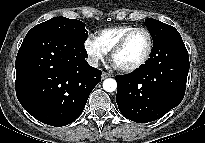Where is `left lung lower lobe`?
<instances>
[{
  "label": "left lung lower lobe",
  "mask_w": 205,
  "mask_h": 143,
  "mask_svg": "<svg viewBox=\"0 0 205 143\" xmlns=\"http://www.w3.org/2000/svg\"><path fill=\"white\" fill-rule=\"evenodd\" d=\"M189 56L178 31L153 44L150 59L133 73L116 76L122 115L137 123L155 121L183 99Z\"/></svg>",
  "instance_id": "left-lung-lower-lobe-1"
}]
</instances>
